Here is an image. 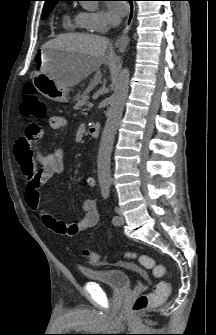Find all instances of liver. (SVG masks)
<instances>
[{"instance_id": "liver-1", "label": "liver", "mask_w": 216, "mask_h": 335, "mask_svg": "<svg viewBox=\"0 0 216 335\" xmlns=\"http://www.w3.org/2000/svg\"><path fill=\"white\" fill-rule=\"evenodd\" d=\"M109 40L106 37L91 34H64L48 41L42 47H50L72 52L75 56L62 73L53 76L59 83L72 87L98 71L102 64L111 66L115 56L106 54Z\"/></svg>"}]
</instances>
